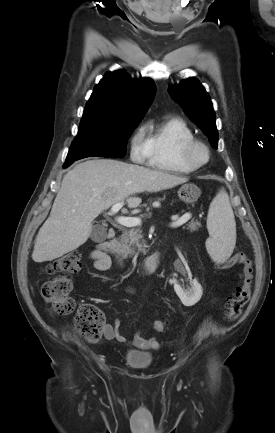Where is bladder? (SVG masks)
Wrapping results in <instances>:
<instances>
[{"label":"bladder","instance_id":"bladder-1","mask_svg":"<svg viewBox=\"0 0 275 433\" xmlns=\"http://www.w3.org/2000/svg\"><path fill=\"white\" fill-rule=\"evenodd\" d=\"M152 358L151 353L137 350H128L124 356L125 362L133 368H147Z\"/></svg>","mask_w":275,"mask_h":433}]
</instances>
